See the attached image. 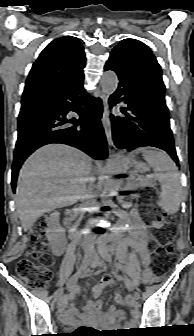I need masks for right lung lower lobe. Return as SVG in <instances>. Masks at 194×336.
Segmentation results:
<instances>
[{"label":"right lung lower lobe","mask_w":194,"mask_h":336,"mask_svg":"<svg viewBox=\"0 0 194 336\" xmlns=\"http://www.w3.org/2000/svg\"><path fill=\"white\" fill-rule=\"evenodd\" d=\"M83 77L53 94L22 103L12 166L13 192L23 162L43 145L62 143L76 147L94 159L108 157L106 137L100 121L102 102L86 94ZM70 113L78 117L69 119Z\"/></svg>","instance_id":"1"}]
</instances>
